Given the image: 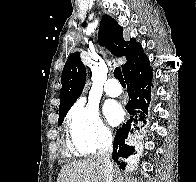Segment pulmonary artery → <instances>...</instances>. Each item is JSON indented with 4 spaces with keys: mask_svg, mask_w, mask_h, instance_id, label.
I'll return each mask as SVG.
<instances>
[{
    "mask_svg": "<svg viewBox=\"0 0 196 182\" xmlns=\"http://www.w3.org/2000/svg\"><path fill=\"white\" fill-rule=\"evenodd\" d=\"M104 91L108 96L117 97L121 94L122 89L117 79L109 78L105 83Z\"/></svg>",
    "mask_w": 196,
    "mask_h": 182,
    "instance_id": "e3ab8cb5",
    "label": "pulmonary artery"
}]
</instances>
